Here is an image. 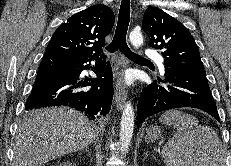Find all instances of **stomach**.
<instances>
[{
	"label": "stomach",
	"mask_w": 231,
	"mask_h": 166,
	"mask_svg": "<svg viewBox=\"0 0 231 166\" xmlns=\"http://www.w3.org/2000/svg\"><path fill=\"white\" fill-rule=\"evenodd\" d=\"M162 135V130L158 126H149L145 133H144V139L148 143H153L156 140H158Z\"/></svg>",
	"instance_id": "obj_1"
}]
</instances>
